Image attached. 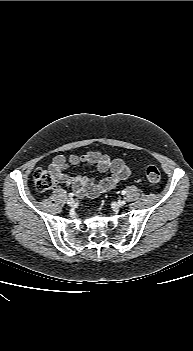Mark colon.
I'll use <instances>...</instances> for the list:
<instances>
[{"mask_svg": "<svg viewBox=\"0 0 193 351\" xmlns=\"http://www.w3.org/2000/svg\"><path fill=\"white\" fill-rule=\"evenodd\" d=\"M146 177L150 182L156 183L161 179V172L157 166L150 165L146 169ZM33 182L40 193L50 191L56 186V181L53 176L43 169H37L34 172Z\"/></svg>", "mask_w": 193, "mask_h": 351, "instance_id": "obj_1", "label": "colon"}]
</instances>
